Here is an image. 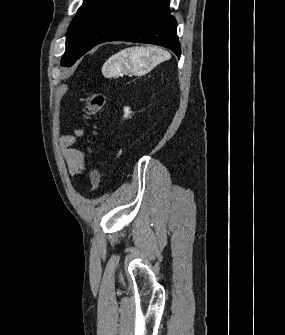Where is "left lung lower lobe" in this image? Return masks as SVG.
Wrapping results in <instances>:
<instances>
[{
	"label": "left lung lower lobe",
	"mask_w": 285,
	"mask_h": 335,
	"mask_svg": "<svg viewBox=\"0 0 285 335\" xmlns=\"http://www.w3.org/2000/svg\"><path fill=\"white\" fill-rule=\"evenodd\" d=\"M107 41L155 44L172 50L178 58L181 54L169 0H111L85 34L80 57Z\"/></svg>",
	"instance_id": "1"
}]
</instances>
